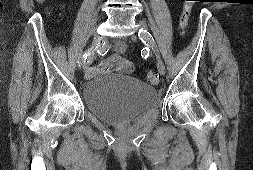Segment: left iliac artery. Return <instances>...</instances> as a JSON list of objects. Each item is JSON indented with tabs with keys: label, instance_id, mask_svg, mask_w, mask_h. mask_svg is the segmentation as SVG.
<instances>
[{
	"label": "left iliac artery",
	"instance_id": "obj_1",
	"mask_svg": "<svg viewBox=\"0 0 253 170\" xmlns=\"http://www.w3.org/2000/svg\"><path fill=\"white\" fill-rule=\"evenodd\" d=\"M138 36L142 42L145 43V45H150L154 51L158 52L154 43V39L147 30L140 29Z\"/></svg>",
	"mask_w": 253,
	"mask_h": 170
}]
</instances>
